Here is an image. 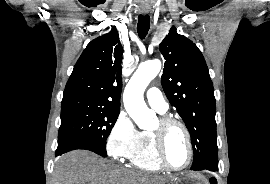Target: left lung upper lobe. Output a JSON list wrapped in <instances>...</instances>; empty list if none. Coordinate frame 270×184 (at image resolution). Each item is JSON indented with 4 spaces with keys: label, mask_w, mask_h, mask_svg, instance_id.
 <instances>
[{
    "label": "left lung upper lobe",
    "mask_w": 270,
    "mask_h": 184,
    "mask_svg": "<svg viewBox=\"0 0 270 184\" xmlns=\"http://www.w3.org/2000/svg\"><path fill=\"white\" fill-rule=\"evenodd\" d=\"M159 48L165 59L162 87L191 136L194 151L191 169L218 163L216 102L202 53L175 28H171Z\"/></svg>",
    "instance_id": "5c2ea615"
}]
</instances>
